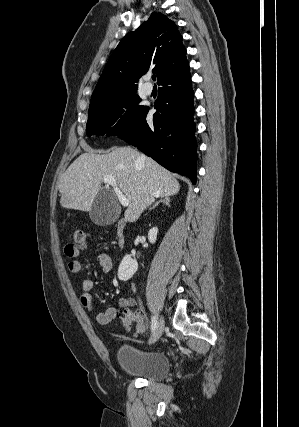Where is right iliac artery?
<instances>
[{"label": "right iliac artery", "mask_w": 299, "mask_h": 427, "mask_svg": "<svg viewBox=\"0 0 299 427\" xmlns=\"http://www.w3.org/2000/svg\"><path fill=\"white\" fill-rule=\"evenodd\" d=\"M151 321H152L151 322V330L154 331L156 329V327H157V324H158L156 317L153 316Z\"/></svg>", "instance_id": "right-iliac-artery-1"}]
</instances>
